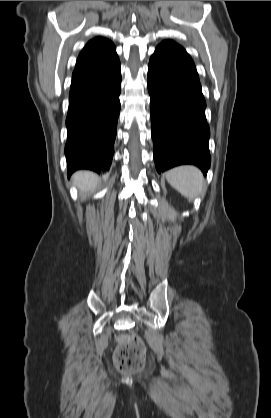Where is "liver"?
<instances>
[{
	"label": "liver",
	"mask_w": 271,
	"mask_h": 418,
	"mask_svg": "<svg viewBox=\"0 0 271 418\" xmlns=\"http://www.w3.org/2000/svg\"><path fill=\"white\" fill-rule=\"evenodd\" d=\"M72 180L75 185L78 186V188L81 191H89L94 189L98 183H99V177L89 171H78L76 172Z\"/></svg>",
	"instance_id": "liver-1"
}]
</instances>
